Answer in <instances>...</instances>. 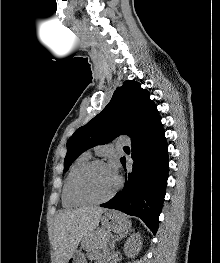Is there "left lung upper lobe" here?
I'll return each instance as SVG.
<instances>
[{"label":"left lung upper lobe","mask_w":220,"mask_h":263,"mask_svg":"<svg viewBox=\"0 0 220 263\" xmlns=\"http://www.w3.org/2000/svg\"><path fill=\"white\" fill-rule=\"evenodd\" d=\"M149 96V92L135 81L127 80L118 87L104 110L69 138L64 171L91 147L106 144L122 134L133 140L147 130L160 117Z\"/></svg>","instance_id":"obj_1"}]
</instances>
